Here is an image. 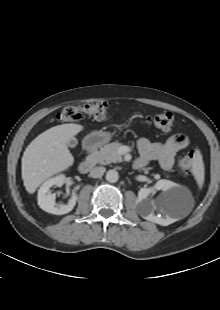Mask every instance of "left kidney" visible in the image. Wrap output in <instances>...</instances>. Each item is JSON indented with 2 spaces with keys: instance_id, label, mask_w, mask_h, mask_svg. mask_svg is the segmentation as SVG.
<instances>
[{
  "instance_id": "left-kidney-1",
  "label": "left kidney",
  "mask_w": 220,
  "mask_h": 310,
  "mask_svg": "<svg viewBox=\"0 0 220 310\" xmlns=\"http://www.w3.org/2000/svg\"><path fill=\"white\" fill-rule=\"evenodd\" d=\"M154 188L156 190H163L164 192H167L168 194H172L176 192L179 189V185L170 181V180H159L154 185ZM152 192V188H141L138 192V198L137 202L139 204V212L140 215L151 222L157 223L162 226H167L170 223H172V218L169 216H166L165 218L156 216L154 214V210L157 207V203L160 205H164L166 202V198H159L157 203L155 201H152L148 198L150 193Z\"/></svg>"
}]
</instances>
